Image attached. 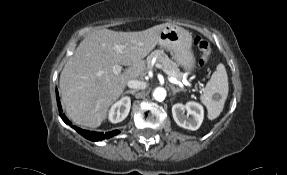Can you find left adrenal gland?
I'll list each match as a JSON object with an SVG mask.
<instances>
[{"label":"left adrenal gland","mask_w":287,"mask_h":175,"mask_svg":"<svg viewBox=\"0 0 287 175\" xmlns=\"http://www.w3.org/2000/svg\"><path fill=\"white\" fill-rule=\"evenodd\" d=\"M170 87H171L173 96H174L176 93H179V92L182 91V89H180V88H175L173 85H170Z\"/></svg>","instance_id":"obj_1"}]
</instances>
